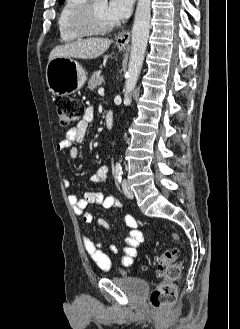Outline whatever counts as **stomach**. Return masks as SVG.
<instances>
[{
  "instance_id": "obj_1",
  "label": "stomach",
  "mask_w": 240,
  "mask_h": 329,
  "mask_svg": "<svg viewBox=\"0 0 240 329\" xmlns=\"http://www.w3.org/2000/svg\"><path fill=\"white\" fill-rule=\"evenodd\" d=\"M120 51L125 46H119ZM87 77L82 66L71 57H56L46 67V80L49 90L56 96H66L78 91Z\"/></svg>"
}]
</instances>
